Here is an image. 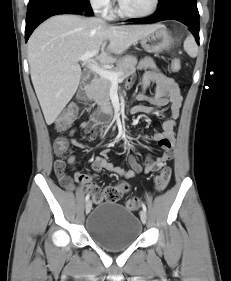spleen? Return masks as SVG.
I'll return each instance as SVG.
<instances>
[{"label":"spleen","instance_id":"obj_1","mask_svg":"<svg viewBox=\"0 0 231 281\" xmlns=\"http://www.w3.org/2000/svg\"><path fill=\"white\" fill-rule=\"evenodd\" d=\"M184 50L187 52V54L194 58L198 54V47L195 42V39L192 36H188L184 41Z\"/></svg>","mask_w":231,"mask_h":281}]
</instances>
